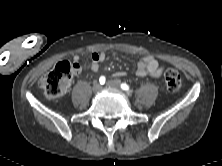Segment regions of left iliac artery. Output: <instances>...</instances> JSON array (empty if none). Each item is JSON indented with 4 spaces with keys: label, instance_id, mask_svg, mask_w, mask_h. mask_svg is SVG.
I'll list each match as a JSON object with an SVG mask.
<instances>
[{
    "label": "left iliac artery",
    "instance_id": "44dca946",
    "mask_svg": "<svg viewBox=\"0 0 222 166\" xmlns=\"http://www.w3.org/2000/svg\"><path fill=\"white\" fill-rule=\"evenodd\" d=\"M121 89L125 91H129V86L126 83L121 84Z\"/></svg>",
    "mask_w": 222,
    "mask_h": 166
}]
</instances>
